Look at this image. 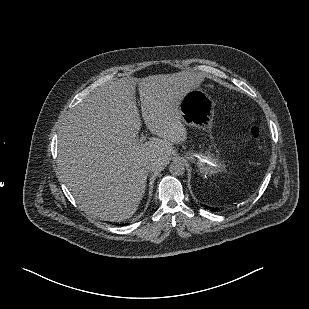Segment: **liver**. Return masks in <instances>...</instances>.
<instances>
[{"label": "liver", "instance_id": "liver-1", "mask_svg": "<svg viewBox=\"0 0 309 309\" xmlns=\"http://www.w3.org/2000/svg\"><path fill=\"white\" fill-rule=\"evenodd\" d=\"M161 81L140 85L141 114L157 137L131 146L142 120L136 99L117 80L88 94L62 119L57 166L79 208L93 219L121 221L137 210L153 162L164 164L185 140L178 113L156 92ZM129 144L130 146H128Z\"/></svg>", "mask_w": 309, "mask_h": 309}]
</instances>
